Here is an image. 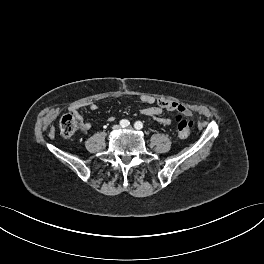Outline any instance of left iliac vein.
<instances>
[{"label":"left iliac vein","mask_w":264,"mask_h":264,"mask_svg":"<svg viewBox=\"0 0 264 264\" xmlns=\"http://www.w3.org/2000/svg\"><path fill=\"white\" fill-rule=\"evenodd\" d=\"M128 129H129V130H133V127L129 126Z\"/></svg>","instance_id":"left-iliac-vein-1"}]
</instances>
